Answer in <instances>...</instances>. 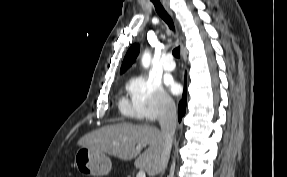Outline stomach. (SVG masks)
<instances>
[{
  "instance_id": "stomach-1",
  "label": "stomach",
  "mask_w": 287,
  "mask_h": 177,
  "mask_svg": "<svg viewBox=\"0 0 287 177\" xmlns=\"http://www.w3.org/2000/svg\"><path fill=\"white\" fill-rule=\"evenodd\" d=\"M74 164L80 173L94 177L105 176L112 168L111 160L105 153L84 146L77 150Z\"/></svg>"
}]
</instances>
